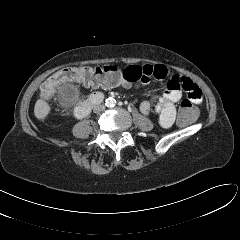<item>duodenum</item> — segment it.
<instances>
[{"label": "duodenum", "instance_id": "duodenum-1", "mask_svg": "<svg viewBox=\"0 0 240 240\" xmlns=\"http://www.w3.org/2000/svg\"><path fill=\"white\" fill-rule=\"evenodd\" d=\"M103 100V95L99 93H95L91 95L86 101L81 102L78 104L75 108V115L78 118H84L86 117L92 106L100 103Z\"/></svg>", "mask_w": 240, "mask_h": 240}]
</instances>
